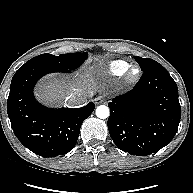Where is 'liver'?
<instances>
[{
	"instance_id": "1",
	"label": "liver",
	"mask_w": 193,
	"mask_h": 193,
	"mask_svg": "<svg viewBox=\"0 0 193 193\" xmlns=\"http://www.w3.org/2000/svg\"><path fill=\"white\" fill-rule=\"evenodd\" d=\"M92 69L93 67L76 78L55 74L47 75L37 84L35 96L40 102L49 106L62 102L74 92H81L89 99L97 88V82L92 76Z\"/></svg>"
}]
</instances>
